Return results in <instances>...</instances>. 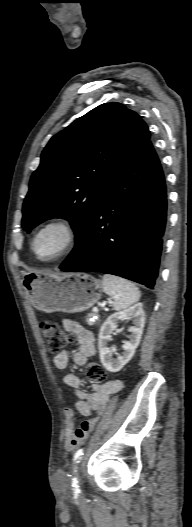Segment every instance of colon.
Segmentation results:
<instances>
[{
  "label": "colon",
  "instance_id": "obj_1",
  "mask_svg": "<svg viewBox=\"0 0 192 527\" xmlns=\"http://www.w3.org/2000/svg\"><path fill=\"white\" fill-rule=\"evenodd\" d=\"M41 332L51 352H59L74 341V335L60 328L52 321L45 320L41 323ZM86 374L95 384L106 382V372L96 361H90L86 366Z\"/></svg>",
  "mask_w": 192,
  "mask_h": 527
}]
</instances>
